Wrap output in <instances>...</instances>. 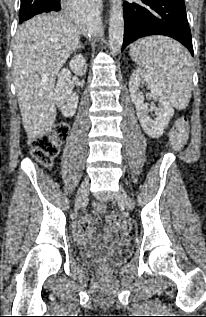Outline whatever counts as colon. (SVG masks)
Returning <instances> with one entry per match:
<instances>
[{
    "label": "colon",
    "mask_w": 206,
    "mask_h": 317,
    "mask_svg": "<svg viewBox=\"0 0 206 317\" xmlns=\"http://www.w3.org/2000/svg\"><path fill=\"white\" fill-rule=\"evenodd\" d=\"M188 131L189 126L187 119H178L170 134V142L174 150H181L184 148L188 138ZM68 134L69 126L67 123L59 122L55 124L48 133L31 141L32 155L44 165H51L53 159L58 155L60 146L66 140ZM94 209L99 214H104L106 212V206L103 203H96ZM108 222L118 227L122 233H130L128 223L118 213L109 214Z\"/></svg>",
    "instance_id": "5ec220e1"
}]
</instances>
